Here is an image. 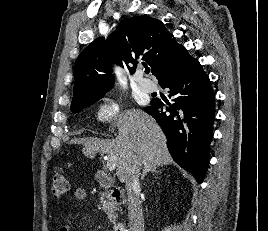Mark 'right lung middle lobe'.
Instances as JSON below:
<instances>
[{"label": "right lung middle lobe", "instance_id": "1", "mask_svg": "<svg viewBox=\"0 0 268 231\" xmlns=\"http://www.w3.org/2000/svg\"><path fill=\"white\" fill-rule=\"evenodd\" d=\"M99 99H101V98L88 100V101H83V102H78L76 104H73V105H71V111L74 112V113H77V112L81 111L82 109L94 104Z\"/></svg>", "mask_w": 268, "mask_h": 231}]
</instances>
